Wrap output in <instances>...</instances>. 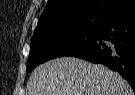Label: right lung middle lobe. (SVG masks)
Returning <instances> with one entry per match:
<instances>
[{
	"label": "right lung middle lobe",
	"mask_w": 135,
	"mask_h": 95,
	"mask_svg": "<svg viewBox=\"0 0 135 95\" xmlns=\"http://www.w3.org/2000/svg\"><path fill=\"white\" fill-rule=\"evenodd\" d=\"M95 31L80 30L58 35H38L32 38L26 72L50 59L72 56L91 44Z\"/></svg>",
	"instance_id": "1"
}]
</instances>
